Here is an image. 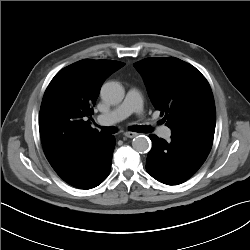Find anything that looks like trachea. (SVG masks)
Wrapping results in <instances>:
<instances>
[{"instance_id": "3493384b", "label": "trachea", "mask_w": 250, "mask_h": 250, "mask_svg": "<svg viewBox=\"0 0 250 250\" xmlns=\"http://www.w3.org/2000/svg\"><path fill=\"white\" fill-rule=\"evenodd\" d=\"M131 130L134 132H139V133H150L152 131L151 127L144 126V125L132 126ZM101 132L114 134L117 132V129L115 127H102Z\"/></svg>"}]
</instances>
